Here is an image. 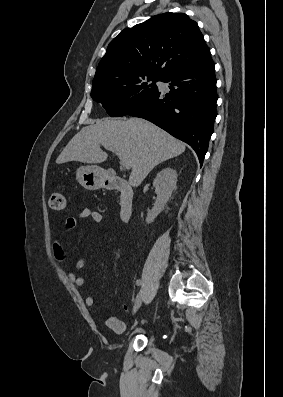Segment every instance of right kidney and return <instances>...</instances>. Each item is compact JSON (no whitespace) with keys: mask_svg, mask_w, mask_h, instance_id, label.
<instances>
[{"mask_svg":"<svg viewBox=\"0 0 283 397\" xmlns=\"http://www.w3.org/2000/svg\"><path fill=\"white\" fill-rule=\"evenodd\" d=\"M177 172L173 168L166 167L162 169L153 181L155 193L157 195L154 207L148 212L146 223H152L154 219L160 214L166 205L167 201L176 190Z\"/></svg>","mask_w":283,"mask_h":397,"instance_id":"1","label":"right kidney"}]
</instances>
